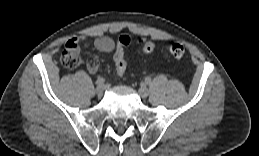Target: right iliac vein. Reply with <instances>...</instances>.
Segmentation results:
<instances>
[{
  "label": "right iliac vein",
  "instance_id": "right-iliac-vein-1",
  "mask_svg": "<svg viewBox=\"0 0 259 156\" xmlns=\"http://www.w3.org/2000/svg\"><path fill=\"white\" fill-rule=\"evenodd\" d=\"M104 90H105V87L104 85H99L97 88H96V93L98 96H101L103 93H104Z\"/></svg>",
  "mask_w": 259,
  "mask_h": 156
}]
</instances>
